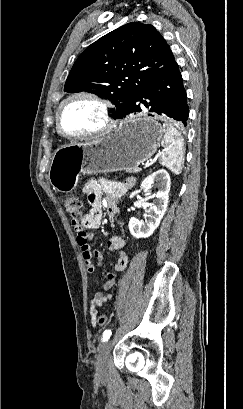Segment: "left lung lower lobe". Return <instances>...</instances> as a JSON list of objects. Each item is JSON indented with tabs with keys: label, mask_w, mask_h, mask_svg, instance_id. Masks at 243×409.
<instances>
[{
	"label": "left lung lower lobe",
	"mask_w": 243,
	"mask_h": 409,
	"mask_svg": "<svg viewBox=\"0 0 243 409\" xmlns=\"http://www.w3.org/2000/svg\"><path fill=\"white\" fill-rule=\"evenodd\" d=\"M147 112L165 115L181 121L186 126L189 116L183 79L175 62L168 70L151 80L135 98L129 114Z\"/></svg>",
	"instance_id": "obj_1"
}]
</instances>
